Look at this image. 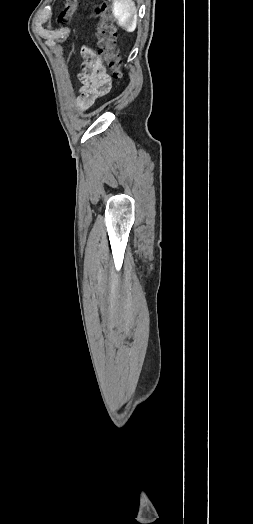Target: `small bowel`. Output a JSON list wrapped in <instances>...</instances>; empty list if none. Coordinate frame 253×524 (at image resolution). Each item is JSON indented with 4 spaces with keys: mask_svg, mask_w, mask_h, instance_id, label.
I'll return each instance as SVG.
<instances>
[{
    "mask_svg": "<svg viewBox=\"0 0 253 524\" xmlns=\"http://www.w3.org/2000/svg\"><path fill=\"white\" fill-rule=\"evenodd\" d=\"M85 63L79 75L82 87L79 97L82 105H89L96 98L105 95L111 86L100 58L88 47L82 50Z\"/></svg>",
    "mask_w": 253,
    "mask_h": 524,
    "instance_id": "c3829d8e",
    "label": "small bowel"
}]
</instances>
